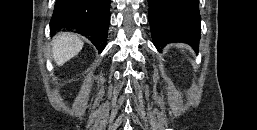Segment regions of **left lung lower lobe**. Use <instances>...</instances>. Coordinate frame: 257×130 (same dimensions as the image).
Returning <instances> with one entry per match:
<instances>
[{
  "label": "left lung lower lobe",
  "instance_id": "left-lung-lower-lobe-1",
  "mask_svg": "<svg viewBox=\"0 0 257 130\" xmlns=\"http://www.w3.org/2000/svg\"><path fill=\"white\" fill-rule=\"evenodd\" d=\"M153 43L161 47L184 42L198 51L200 14L198 0H148ZM161 52V49L158 48Z\"/></svg>",
  "mask_w": 257,
  "mask_h": 130
}]
</instances>
